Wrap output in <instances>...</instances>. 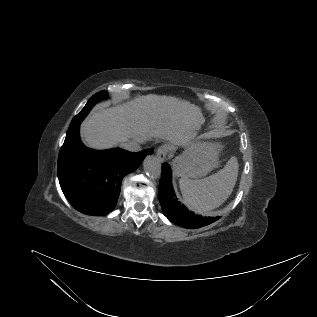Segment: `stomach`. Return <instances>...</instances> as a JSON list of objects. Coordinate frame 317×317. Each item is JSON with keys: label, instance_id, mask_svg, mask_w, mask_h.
Instances as JSON below:
<instances>
[{"label": "stomach", "instance_id": "obj_1", "mask_svg": "<svg viewBox=\"0 0 317 317\" xmlns=\"http://www.w3.org/2000/svg\"><path fill=\"white\" fill-rule=\"evenodd\" d=\"M221 146L212 142H196L173 160L174 173L186 178L206 176L219 163Z\"/></svg>", "mask_w": 317, "mask_h": 317}]
</instances>
